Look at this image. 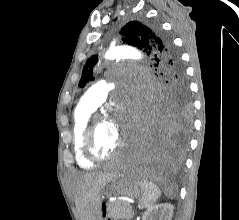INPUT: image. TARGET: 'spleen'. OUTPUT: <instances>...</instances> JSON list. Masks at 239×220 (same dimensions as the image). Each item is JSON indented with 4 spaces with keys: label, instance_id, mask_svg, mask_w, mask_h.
Returning <instances> with one entry per match:
<instances>
[{
    "label": "spleen",
    "instance_id": "1",
    "mask_svg": "<svg viewBox=\"0 0 239 220\" xmlns=\"http://www.w3.org/2000/svg\"><path fill=\"white\" fill-rule=\"evenodd\" d=\"M137 183L143 191L142 197L138 203V208H149L158 200L161 191L155 183L146 179L137 180Z\"/></svg>",
    "mask_w": 239,
    "mask_h": 220
}]
</instances>
